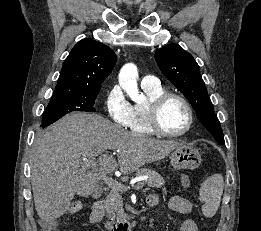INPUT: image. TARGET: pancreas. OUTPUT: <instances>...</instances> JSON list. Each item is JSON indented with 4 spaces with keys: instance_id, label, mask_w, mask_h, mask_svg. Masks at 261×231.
Returning a JSON list of instances; mask_svg holds the SVG:
<instances>
[{
    "instance_id": "obj_1",
    "label": "pancreas",
    "mask_w": 261,
    "mask_h": 231,
    "mask_svg": "<svg viewBox=\"0 0 261 231\" xmlns=\"http://www.w3.org/2000/svg\"><path fill=\"white\" fill-rule=\"evenodd\" d=\"M144 175L149 176V178L145 181L149 187L161 188L165 184L163 177L150 168H141L135 173V176ZM121 192L123 191L111 190L106 197L104 206L106 209L107 218L110 220L123 221L127 218V214L123 209Z\"/></svg>"
}]
</instances>
